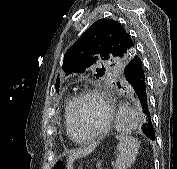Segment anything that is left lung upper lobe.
I'll list each match as a JSON object with an SVG mask.
<instances>
[{
    "label": "left lung upper lobe",
    "mask_w": 177,
    "mask_h": 169,
    "mask_svg": "<svg viewBox=\"0 0 177 169\" xmlns=\"http://www.w3.org/2000/svg\"><path fill=\"white\" fill-rule=\"evenodd\" d=\"M136 55L135 41L125 28L117 21L101 19L91 25L68 49L62 68L66 75L83 73L100 60L110 61L124 68ZM105 71L104 67L97 68L96 77H102ZM118 87H121L120 83Z\"/></svg>",
    "instance_id": "1"
}]
</instances>
